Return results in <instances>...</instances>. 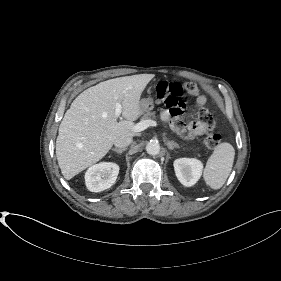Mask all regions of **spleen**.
I'll return each instance as SVG.
<instances>
[{
  "instance_id": "spleen-1",
  "label": "spleen",
  "mask_w": 281,
  "mask_h": 281,
  "mask_svg": "<svg viewBox=\"0 0 281 281\" xmlns=\"http://www.w3.org/2000/svg\"><path fill=\"white\" fill-rule=\"evenodd\" d=\"M235 157L234 147L227 142L218 144L209 157L203 172L205 183L212 189H220L231 173Z\"/></svg>"
}]
</instances>
